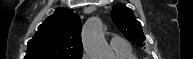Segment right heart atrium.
<instances>
[{
  "label": "right heart atrium",
  "mask_w": 193,
  "mask_h": 59,
  "mask_svg": "<svg viewBox=\"0 0 193 59\" xmlns=\"http://www.w3.org/2000/svg\"><path fill=\"white\" fill-rule=\"evenodd\" d=\"M82 59H89V56L87 54H84Z\"/></svg>",
  "instance_id": "right-heart-atrium-1"
}]
</instances>
